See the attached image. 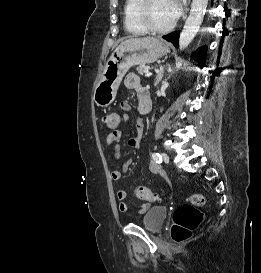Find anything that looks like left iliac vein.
Segmentation results:
<instances>
[{
  "instance_id": "4c4485c4",
  "label": "left iliac vein",
  "mask_w": 261,
  "mask_h": 273,
  "mask_svg": "<svg viewBox=\"0 0 261 273\" xmlns=\"http://www.w3.org/2000/svg\"><path fill=\"white\" fill-rule=\"evenodd\" d=\"M162 159H163V161L168 162L169 156L166 153H162Z\"/></svg>"
}]
</instances>
